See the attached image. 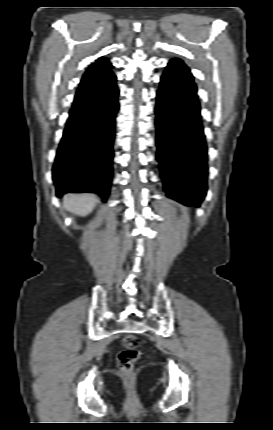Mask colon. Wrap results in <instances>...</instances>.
Segmentation results:
<instances>
[{"mask_svg":"<svg viewBox=\"0 0 273 430\" xmlns=\"http://www.w3.org/2000/svg\"><path fill=\"white\" fill-rule=\"evenodd\" d=\"M123 346L124 349L118 355V365L123 375L130 378L134 366L141 356L139 340L134 335H126L123 338Z\"/></svg>","mask_w":273,"mask_h":430,"instance_id":"obj_1","label":"colon"}]
</instances>
